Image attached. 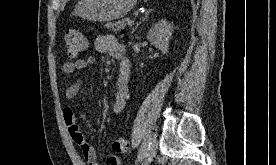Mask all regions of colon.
Masks as SVG:
<instances>
[{
    "instance_id": "colon-1",
    "label": "colon",
    "mask_w": 276,
    "mask_h": 165,
    "mask_svg": "<svg viewBox=\"0 0 276 165\" xmlns=\"http://www.w3.org/2000/svg\"><path fill=\"white\" fill-rule=\"evenodd\" d=\"M64 41L67 54L71 57L79 56L87 48L85 37L78 29L75 28L66 30ZM128 147V141L124 137H117L112 143L113 151L118 154L125 153L128 150Z\"/></svg>"
}]
</instances>
